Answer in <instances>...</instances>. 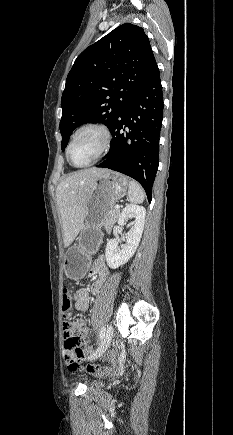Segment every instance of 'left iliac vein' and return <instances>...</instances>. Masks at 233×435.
I'll return each mask as SVG.
<instances>
[{"label": "left iliac vein", "mask_w": 233, "mask_h": 435, "mask_svg": "<svg viewBox=\"0 0 233 435\" xmlns=\"http://www.w3.org/2000/svg\"><path fill=\"white\" fill-rule=\"evenodd\" d=\"M112 338H113V327L112 325H108L101 344L96 349V351L89 357V359L92 360L100 357L105 352L107 347L110 345Z\"/></svg>", "instance_id": "left-iliac-vein-1"}]
</instances>
